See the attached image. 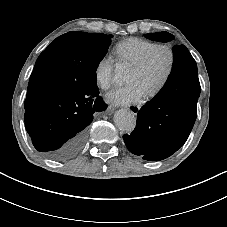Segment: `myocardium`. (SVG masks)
Here are the masks:
<instances>
[{
	"label": "myocardium",
	"mask_w": 227,
	"mask_h": 227,
	"mask_svg": "<svg viewBox=\"0 0 227 227\" xmlns=\"http://www.w3.org/2000/svg\"><path fill=\"white\" fill-rule=\"evenodd\" d=\"M159 51H164L167 54V68L159 84L147 93L148 97L150 98L158 95L167 86L173 74L176 62V56L173 47L168 44L154 45L132 68V71L134 72H142L149 65L154 55Z\"/></svg>",
	"instance_id": "obj_1"
}]
</instances>
